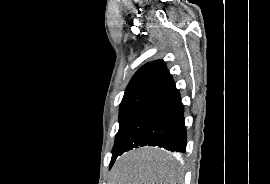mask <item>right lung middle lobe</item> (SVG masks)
Segmentation results:
<instances>
[{"instance_id":"obj_1","label":"right lung middle lobe","mask_w":270,"mask_h":184,"mask_svg":"<svg viewBox=\"0 0 270 184\" xmlns=\"http://www.w3.org/2000/svg\"><path fill=\"white\" fill-rule=\"evenodd\" d=\"M148 99L149 97L137 96L122 100L119 113L120 126L115 138L110 166H112L117 156H119L122 143L125 140L131 125Z\"/></svg>"}]
</instances>
